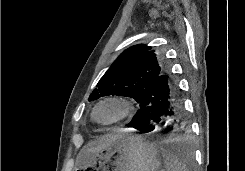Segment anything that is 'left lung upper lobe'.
Wrapping results in <instances>:
<instances>
[{
    "mask_svg": "<svg viewBox=\"0 0 245 171\" xmlns=\"http://www.w3.org/2000/svg\"><path fill=\"white\" fill-rule=\"evenodd\" d=\"M165 72L151 46L135 45L114 61L91 93L89 101L106 95H122L140 101L144 89Z\"/></svg>",
    "mask_w": 245,
    "mask_h": 171,
    "instance_id": "obj_1",
    "label": "left lung upper lobe"
}]
</instances>
